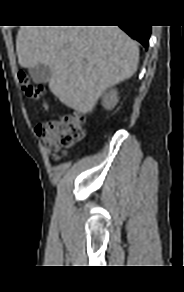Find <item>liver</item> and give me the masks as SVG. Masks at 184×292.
I'll return each instance as SVG.
<instances>
[{"instance_id":"6515ba94","label":"liver","mask_w":184,"mask_h":292,"mask_svg":"<svg viewBox=\"0 0 184 292\" xmlns=\"http://www.w3.org/2000/svg\"><path fill=\"white\" fill-rule=\"evenodd\" d=\"M24 68L50 67V91L79 113L93 111L109 87L137 71L139 49L118 26H21L16 39Z\"/></svg>"}]
</instances>
